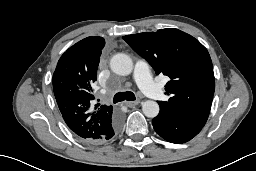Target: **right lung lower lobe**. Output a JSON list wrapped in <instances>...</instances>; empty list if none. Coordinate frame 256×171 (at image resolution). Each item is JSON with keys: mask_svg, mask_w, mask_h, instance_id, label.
Segmentation results:
<instances>
[{"mask_svg": "<svg viewBox=\"0 0 256 171\" xmlns=\"http://www.w3.org/2000/svg\"><path fill=\"white\" fill-rule=\"evenodd\" d=\"M109 131L107 132V136L103 140L92 142V143H102L105 142L106 140L111 139L115 133L120 129L121 125V118L118 114H115L113 118L111 119V122L109 124Z\"/></svg>", "mask_w": 256, "mask_h": 171, "instance_id": "1", "label": "right lung lower lobe"}]
</instances>
